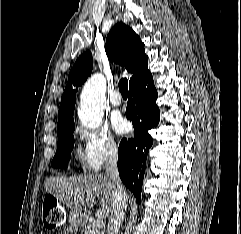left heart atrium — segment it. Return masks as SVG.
<instances>
[{"instance_id":"1","label":"left heart atrium","mask_w":241,"mask_h":234,"mask_svg":"<svg viewBox=\"0 0 241 234\" xmlns=\"http://www.w3.org/2000/svg\"><path fill=\"white\" fill-rule=\"evenodd\" d=\"M112 127L118 134L126 133L129 129L128 122L119 115L112 118Z\"/></svg>"}]
</instances>
